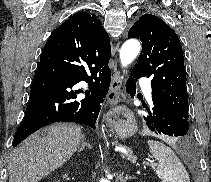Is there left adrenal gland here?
<instances>
[{
  "label": "left adrenal gland",
  "instance_id": "obj_1",
  "mask_svg": "<svg viewBox=\"0 0 211 182\" xmlns=\"http://www.w3.org/2000/svg\"><path fill=\"white\" fill-rule=\"evenodd\" d=\"M119 179H120V182H126V181L129 180V179H134V177L129 176V175H127V174L125 175V174H124V171H122V172L120 173Z\"/></svg>",
  "mask_w": 211,
  "mask_h": 182
}]
</instances>
